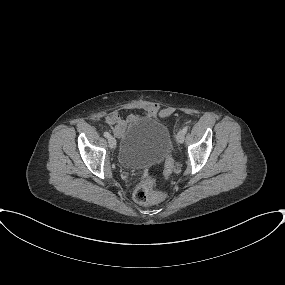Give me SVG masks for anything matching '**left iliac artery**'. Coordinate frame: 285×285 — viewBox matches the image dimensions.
Here are the masks:
<instances>
[{"instance_id": "obj_1", "label": "left iliac artery", "mask_w": 285, "mask_h": 285, "mask_svg": "<svg viewBox=\"0 0 285 285\" xmlns=\"http://www.w3.org/2000/svg\"><path fill=\"white\" fill-rule=\"evenodd\" d=\"M182 131H183L184 133H186V132L188 131V127L185 126V127L182 129Z\"/></svg>"}]
</instances>
